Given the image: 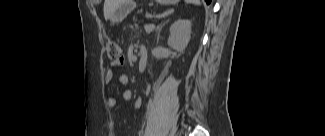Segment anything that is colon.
Listing matches in <instances>:
<instances>
[{"label": "colon", "instance_id": "colon-1", "mask_svg": "<svg viewBox=\"0 0 325 136\" xmlns=\"http://www.w3.org/2000/svg\"><path fill=\"white\" fill-rule=\"evenodd\" d=\"M107 55L109 59L120 61L123 59L122 47L116 42H110L107 45Z\"/></svg>", "mask_w": 325, "mask_h": 136}]
</instances>
